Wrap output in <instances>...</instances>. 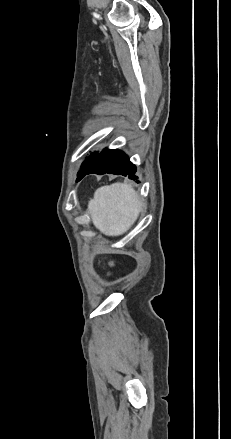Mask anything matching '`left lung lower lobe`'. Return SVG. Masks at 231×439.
<instances>
[{"label": "left lung lower lobe", "mask_w": 231, "mask_h": 439, "mask_svg": "<svg viewBox=\"0 0 231 439\" xmlns=\"http://www.w3.org/2000/svg\"><path fill=\"white\" fill-rule=\"evenodd\" d=\"M136 167L129 161L127 155L119 150L104 149L101 151L93 164L87 168L79 177L78 181L87 174H115L128 176L129 179H137Z\"/></svg>", "instance_id": "left-lung-lower-lobe-1"}]
</instances>
